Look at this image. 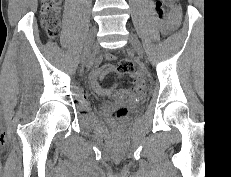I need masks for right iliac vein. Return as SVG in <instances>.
Returning a JSON list of instances; mask_svg holds the SVG:
<instances>
[{"label":"right iliac vein","mask_w":231,"mask_h":177,"mask_svg":"<svg viewBox=\"0 0 231 177\" xmlns=\"http://www.w3.org/2000/svg\"><path fill=\"white\" fill-rule=\"evenodd\" d=\"M95 34H96V28H92L90 35L88 37V40L86 42L85 45V49H84V57L85 60L87 61L91 55V51L94 48V43H95Z\"/></svg>","instance_id":"1"}]
</instances>
